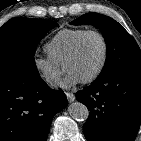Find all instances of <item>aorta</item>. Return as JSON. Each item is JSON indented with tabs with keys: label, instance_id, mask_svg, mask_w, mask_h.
I'll return each mask as SVG.
<instances>
[{
	"label": "aorta",
	"instance_id": "obj_1",
	"mask_svg": "<svg viewBox=\"0 0 141 141\" xmlns=\"http://www.w3.org/2000/svg\"><path fill=\"white\" fill-rule=\"evenodd\" d=\"M68 112L76 121H86L89 117L88 108L81 102H74L69 105Z\"/></svg>",
	"mask_w": 141,
	"mask_h": 141
}]
</instances>
